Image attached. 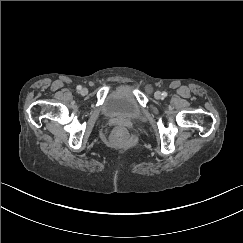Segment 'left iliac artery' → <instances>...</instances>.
Masks as SVG:
<instances>
[{"instance_id": "left-iliac-artery-1", "label": "left iliac artery", "mask_w": 243, "mask_h": 243, "mask_svg": "<svg viewBox=\"0 0 243 243\" xmlns=\"http://www.w3.org/2000/svg\"><path fill=\"white\" fill-rule=\"evenodd\" d=\"M162 95H163L164 97H166V96H167V93H166V92H164Z\"/></svg>"}]
</instances>
